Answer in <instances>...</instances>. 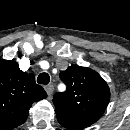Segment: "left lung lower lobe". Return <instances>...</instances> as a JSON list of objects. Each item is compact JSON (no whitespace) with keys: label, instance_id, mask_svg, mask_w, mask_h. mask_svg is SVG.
Returning a JSON list of instances; mask_svg holds the SVG:
<instances>
[{"label":"left lung lower lobe","instance_id":"left-lung-lower-lobe-1","mask_svg":"<svg viewBox=\"0 0 130 130\" xmlns=\"http://www.w3.org/2000/svg\"><path fill=\"white\" fill-rule=\"evenodd\" d=\"M55 110H56L58 122L67 129L79 130V129H84L93 124V122L85 118L73 116L71 114H68L64 110H60V109H55Z\"/></svg>","mask_w":130,"mask_h":130}]
</instances>
